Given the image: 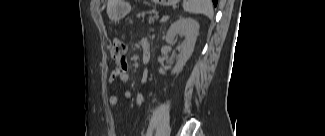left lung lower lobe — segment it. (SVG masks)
Here are the masks:
<instances>
[{"mask_svg":"<svg viewBox=\"0 0 325 136\" xmlns=\"http://www.w3.org/2000/svg\"><path fill=\"white\" fill-rule=\"evenodd\" d=\"M212 1H213L214 5L216 6L218 0H212Z\"/></svg>","mask_w":325,"mask_h":136,"instance_id":"obj_1","label":"left lung lower lobe"}]
</instances>
